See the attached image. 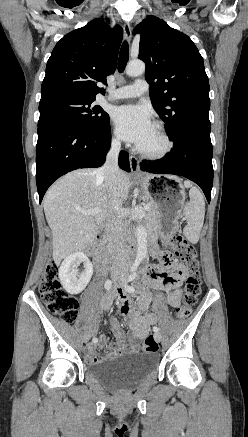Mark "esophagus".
I'll use <instances>...</instances> for the list:
<instances>
[{
    "instance_id": "obj_1",
    "label": "esophagus",
    "mask_w": 248,
    "mask_h": 437,
    "mask_svg": "<svg viewBox=\"0 0 248 437\" xmlns=\"http://www.w3.org/2000/svg\"><path fill=\"white\" fill-rule=\"evenodd\" d=\"M123 30H124V36L125 39L130 42L131 37H132V28L129 22H126L123 26ZM129 163H130V168H131V172L134 175L139 176L140 175V171H139V162L138 159L134 156V155H130L129 156Z\"/></svg>"
}]
</instances>
